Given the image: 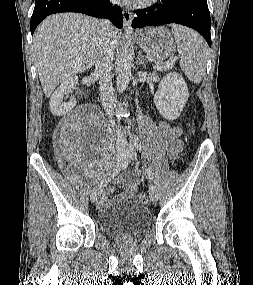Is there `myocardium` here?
Returning a JSON list of instances; mask_svg holds the SVG:
<instances>
[{"mask_svg":"<svg viewBox=\"0 0 253 285\" xmlns=\"http://www.w3.org/2000/svg\"><path fill=\"white\" fill-rule=\"evenodd\" d=\"M159 0H138V5L141 7H149L156 4Z\"/></svg>","mask_w":253,"mask_h":285,"instance_id":"myocardium-1","label":"myocardium"}]
</instances>
